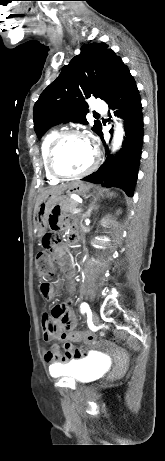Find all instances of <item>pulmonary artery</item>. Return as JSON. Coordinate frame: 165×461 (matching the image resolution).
<instances>
[{"mask_svg":"<svg viewBox=\"0 0 165 461\" xmlns=\"http://www.w3.org/2000/svg\"><path fill=\"white\" fill-rule=\"evenodd\" d=\"M93 109H94V111H96L98 113H105L106 110H107L104 103L99 101V100L95 102V104L93 106Z\"/></svg>","mask_w":165,"mask_h":461,"instance_id":"1","label":"pulmonary artery"}]
</instances>
